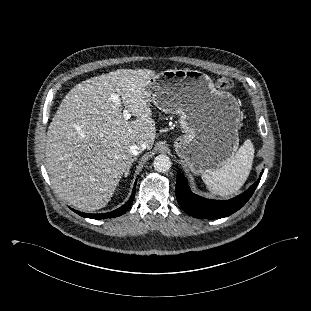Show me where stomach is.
Wrapping results in <instances>:
<instances>
[{
  "instance_id": "0dacf381",
  "label": "stomach",
  "mask_w": 311,
  "mask_h": 311,
  "mask_svg": "<svg viewBox=\"0 0 311 311\" xmlns=\"http://www.w3.org/2000/svg\"><path fill=\"white\" fill-rule=\"evenodd\" d=\"M145 92L163 112L180 115L184 134L176 138L174 148L194 174L216 170L236 154L238 102L230 93L218 91L208 75L166 70L148 80Z\"/></svg>"
}]
</instances>
